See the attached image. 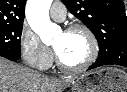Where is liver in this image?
Listing matches in <instances>:
<instances>
[{
    "mask_svg": "<svg viewBox=\"0 0 127 92\" xmlns=\"http://www.w3.org/2000/svg\"><path fill=\"white\" fill-rule=\"evenodd\" d=\"M74 77L48 78L0 57V92H63Z\"/></svg>",
    "mask_w": 127,
    "mask_h": 92,
    "instance_id": "1",
    "label": "liver"
}]
</instances>
